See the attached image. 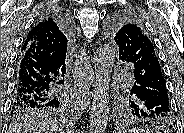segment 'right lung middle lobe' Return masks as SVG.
Listing matches in <instances>:
<instances>
[{
  "label": "right lung middle lobe",
  "instance_id": "1",
  "mask_svg": "<svg viewBox=\"0 0 184 133\" xmlns=\"http://www.w3.org/2000/svg\"><path fill=\"white\" fill-rule=\"evenodd\" d=\"M64 106V102L62 98H59L58 100H54L53 102L47 104V105H24V104H14L12 109L15 116L20 115H28L36 111H47L50 113H58L61 111L62 107Z\"/></svg>",
  "mask_w": 184,
  "mask_h": 133
}]
</instances>
